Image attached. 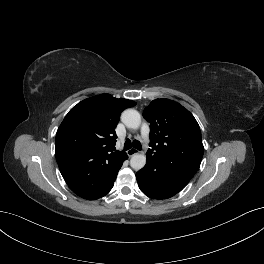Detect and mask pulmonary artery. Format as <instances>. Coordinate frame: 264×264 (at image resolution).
Instances as JSON below:
<instances>
[{
	"mask_svg": "<svg viewBox=\"0 0 264 264\" xmlns=\"http://www.w3.org/2000/svg\"><path fill=\"white\" fill-rule=\"evenodd\" d=\"M141 133L144 139H148V135H149V127L147 125V123H143L141 126Z\"/></svg>",
	"mask_w": 264,
	"mask_h": 264,
	"instance_id": "1",
	"label": "pulmonary artery"
}]
</instances>
